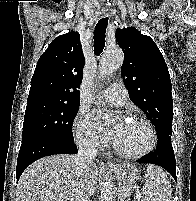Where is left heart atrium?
I'll return each instance as SVG.
<instances>
[{
	"mask_svg": "<svg viewBox=\"0 0 196 201\" xmlns=\"http://www.w3.org/2000/svg\"><path fill=\"white\" fill-rule=\"evenodd\" d=\"M123 124V120H120L119 122H117L112 129L109 131V135L111 137V139L114 141V138L117 134V132L119 131L121 125Z\"/></svg>",
	"mask_w": 196,
	"mask_h": 201,
	"instance_id": "39dd6f15",
	"label": "left heart atrium"
}]
</instances>
